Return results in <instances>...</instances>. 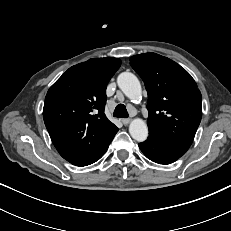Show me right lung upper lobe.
I'll return each instance as SVG.
<instances>
[{
  "mask_svg": "<svg viewBox=\"0 0 231 231\" xmlns=\"http://www.w3.org/2000/svg\"><path fill=\"white\" fill-rule=\"evenodd\" d=\"M118 58H94L69 68L48 90L43 118L59 154L76 166L99 160L119 130L104 114L106 86Z\"/></svg>",
  "mask_w": 231,
  "mask_h": 231,
  "instance_id": "obj_1",
  "label": "right lung upper lobe"
}]
</instances>
